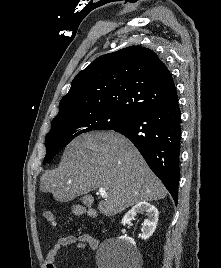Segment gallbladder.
<instances>
[{
	"label": "gallbladder",
	"mask_w": 221,
	"mask_h": 268,
	"mask_svg": "<svg viewBox=\"0 0 221 268\" xmlns=\"http://www.w3.org/2000/svg\"><path fill=\"white\" fill-rule=\"evenodd\" d=\"M92 198L91 197H85L84 199H83V202H84V204L85 205H87V206H89L91 203H92Z\"/></svg>",
	"instance_id": "gallbladder-1"
}]
</instances>
